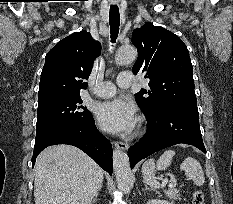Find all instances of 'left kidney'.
Listing matches in <instances>:
<instances>
[{
    "label": "left kidney",
    "mask_w": 233,
    "mask_h": 204,
    "mask_svg": "<svg viewBox=\"0 0 233 204\" xmlns=\"http://www.w3.org/2000/svg\"><path fill=\"white\" fill-rule=\"evenodd\" d=\"M147 204H172L166 200L152 199L147 202Z\"/></svg>",
    "instance_id": "left-kidney-1"
}]
</instances>
